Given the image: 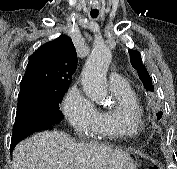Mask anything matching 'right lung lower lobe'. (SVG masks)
Returning <instances> with one entry per match:
<instances>
[{"mask_svg":"<svg viewBox=\"0 0 177 169\" xmlns=\"http://www.w3.org/2000/svg\"><path fill=\"white\" fill-rule=\"evenodd\" d=\"M52 128L53 124L35 118H25L15 121L14 131L11 139L10 152L13 151L16 144H18L21 140H23L33 132Z\"/></svg>","mask_w":177,"mask_h":169,"instance_id":"right-lung-lower-lobe-1","label":"right lung lower lobe"}]
</instances>
